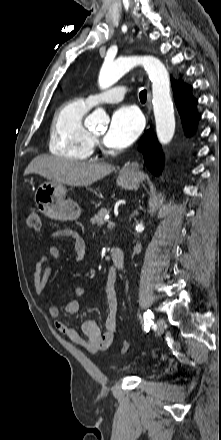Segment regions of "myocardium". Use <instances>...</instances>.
I'll return each mask as SVG.
<instances>
[{
	"label": "myocardium",
	"mask_w": 221,
	"mask_h": 440,
	"mask_svg": "<svg viewBox=\"0 0 221 440\" xmlns=\"http://www.w3.org/2000/svg\"><path fill=\"white\" fill-rule=\"evenodd\" d=\"M90 133H91V132H90ZM91 135H92V133H91ZM92 137H93V139H94L95 135H92Z\"/></svg>",
	"instance_id": "obj_1"
}]
</instances>
